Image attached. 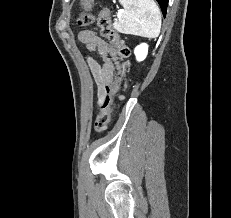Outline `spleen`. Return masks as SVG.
<instances>
[{"label":"spleen","mask_w":231,"mask_h":218,"mask_svg":"<svg viewBox=\"0 0 231 218\" xmlns=\"http://www.w3.org/2000/svg\"><path fill=\"white\" fill-rule=\"evenodd\" d=\"M124 10L113 26L124 34L156 38L161 30V12L154 0H119Z\"/></svg>","instance_id":"spleen-1"}]
</instances>
